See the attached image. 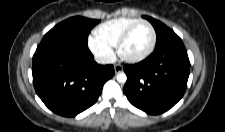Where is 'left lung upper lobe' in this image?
Returning <instances> with one entry per match:
<instances>
[{
    "label": "left lung upper lobe",
    "instance_id": "obj_1",
    "mask_svg": "<svg viewBox=\"0 0 225 132\" xmlns=\"http://www.w3.org/2000/svg\"><path fill=\"white\" fill-rule=\"evenodd\" d=\"M145 19L151 22L156 31V47L155 50L161 49L167 45L181 43L180 37L166 25L158 20H155L149 16H143Z\"/></svg>",
    "mask_w": 225,
    "mask_h": 132
}]
</instances>
